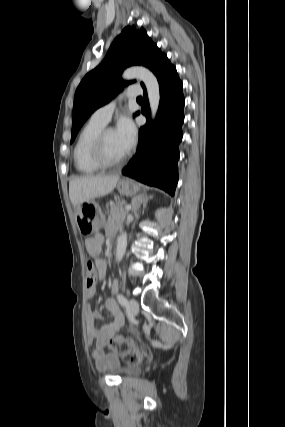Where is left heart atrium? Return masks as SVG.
<instances>
[{
	"instance_id": "1",
	"label": "left heart atrium",
	"mask_w": 285,
	"mask_h": 427,
	"mask_svg": "<svg viewBox=\"0 0 285 427\" xmlns=\"http://www.w3.org/2000/svg\"><path fill=\"white\" fill-rule=\"evenodd\" d=\"M116 135L124 149L130 151L136 143L137 132L133 122L128 117L119 119L116 127Z\"/></svg>"
}]
</instances>
